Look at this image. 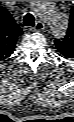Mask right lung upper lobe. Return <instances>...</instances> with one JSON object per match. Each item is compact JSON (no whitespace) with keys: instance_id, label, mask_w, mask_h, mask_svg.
<instances>
[{"instance_id":"1","label":"right lung upper lobe","mask_w":74,"mask_h":122,"mask_svg":"<svg viewBox=\"0 0 74 122\" xmlns=\"http://www.w3.org/2000/svg\"><path fill=\"white\" fill-rule=\"evenodd\" d=\"M22 33L10 13L0 6V61L13 53L17 39Z\"/></svg>"}]
</instances>
